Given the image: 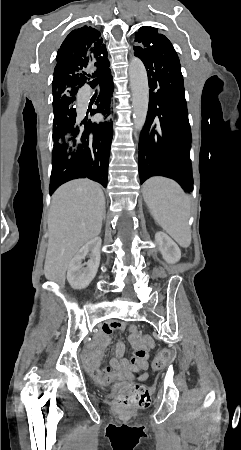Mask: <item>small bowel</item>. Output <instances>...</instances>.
Returning a JSON list of instances; mask_svg holds the SVG:
<instances>
[{
    "mask_svg": "<svg viewBox=\"0 0 241 450\" xmlns=\"http://www.w3.org/2000/svg\"><path fill=\"white\" fill-rule=\"evenodd\" d=\"M124 330L129 332L128 340L132 355L129 358L125 357V345L122 341H118L109 366L100 369L99 362L109 344L110 335L114 331ZM89 347L96 348L89 359L88 368L97 383L122 384L133 382L135 379L141 382L147 379L149 351L155 347V342L150 335L143 334L137 325L117 320L104 323L100 334Z\"/></svg>",
    "mask_w": 241,
    "mask_h": 450,
    "instance_id": "obj_1",
    "label": "small bowel"
}]
</instances>
